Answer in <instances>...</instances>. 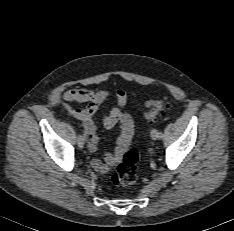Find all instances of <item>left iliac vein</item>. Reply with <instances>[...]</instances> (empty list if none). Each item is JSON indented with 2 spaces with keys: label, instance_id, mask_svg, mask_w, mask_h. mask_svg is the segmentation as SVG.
I'll use <instances>...</instances> for the list:
<instances>
[{
  "label": "left iliac vein",
  "instance_id": "4c4485c4",
  "mask_svg": "<svg viewBox=\"0 0 234 231\" xmlns=\"http://www.w3.org/2000/svg\"><path fill=\"white\" fill-rule=\"evenodd\" d=\"M150 135L152 140H157L159 138L158 131L156 129H153Z\"/></svg>",
  "mask_w": 234,
  "mask_h": 231
}]
</instances>
